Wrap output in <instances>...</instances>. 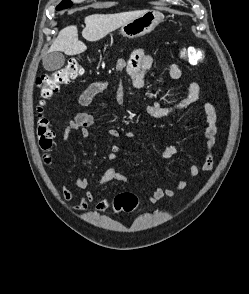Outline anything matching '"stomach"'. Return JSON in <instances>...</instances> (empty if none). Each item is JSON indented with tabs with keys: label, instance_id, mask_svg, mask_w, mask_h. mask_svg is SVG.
<instances>
[{
	"label": "stomach",
	"instance_id": "obj_1",
	"mask_svg": "<svg viewBox=\"0 0 249 294\" xmlns=\"http://www.w3.org/2000/svg\"><path fill=\"white\" fill-rule=\"evenodd\" d=\"M164 16L153 10H147L140 17L122 26L121 33L124 37L133 39L151 33L162 21Z\"/></svg>",
	"mask_w": 249,
	"mask_h": 294
}]
</instances>
